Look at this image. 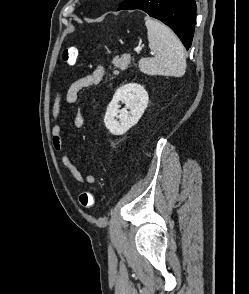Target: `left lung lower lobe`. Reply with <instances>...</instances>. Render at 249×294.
I'll return each mask as SVG.
<instances>
[{"label": "left lung lower lobe", "instance_id": "obj_1", "mask_svg": "<svg viewBox=\"0 0 249 294\" xmlns=\"http://www.w3.org/2000/svg\"><path fill=\"white\" fill-rule=\"evenodd\" d=\"M140 9L168 25L185 48L191 46L195 28V0H126L119 10Z\"/></svg>", "mask_w": 249, "mask_h": 294}]
</instances>
